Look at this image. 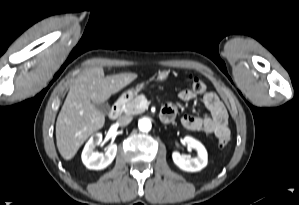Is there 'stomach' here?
<instances>
[{
	"label": "stomach",
	"mask_w": 299,
	"mask_h": 205,
	"mask_svg": "<svg viewBox=\"0 0 299 205\" xmlns=\"http://www.w3.org/2000/svg\"><path fill=\"white\" fill-rule=\"evenodd\" d=\"M169 75H170V70L158 71V73L156 75V79H157V81L162 82V81L167 80ZM146 86H147V83H140L136 87L131 88V89L127 90L126 92H124L122 94V98L125 100H131L141 90L145 89Z\"/></svg>",
	"instance_id": "0dacf381"
}]
</instances>
